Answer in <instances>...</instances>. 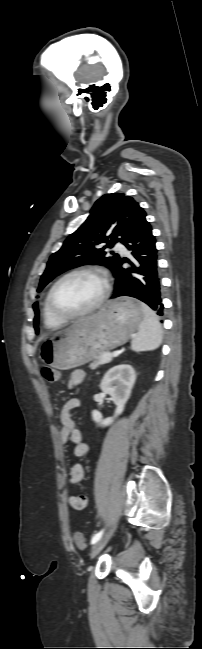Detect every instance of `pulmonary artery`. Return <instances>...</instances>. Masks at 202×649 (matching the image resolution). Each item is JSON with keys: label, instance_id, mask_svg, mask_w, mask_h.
Listing matches in <instances>:
<instances>
[{"label": "pulmonary artery", "instance_id": "pulmonary-artery-1", "mask_svg": "<svg viewBox=\"0 0 202 649\" xmlns=\"http://www.w3.org/2000/svg\"><path fill=\"white\" fill-rule=\"evenodd\" d=\"M116 248H117L118 250H120L122 253H126V252H127L126 248H125L121 243H117V244H116Z\"/></svg>", "mask_w": 202, "mask_h": 649}]
</instances>
